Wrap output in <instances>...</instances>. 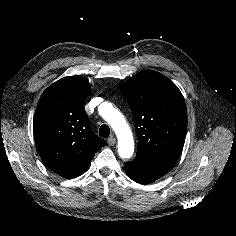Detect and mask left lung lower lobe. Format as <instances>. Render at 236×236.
Segmentation results:
<instances>
[{
	"label": "left lung lower lobe",
	"mask_w": 236,
	"mask_h": 236,
	"mask_svg": "<svg viewBox=\"0 0 236 236\" xmlns=\"http://www.w3.org/2000/svg\"><path fill=\"white\" fill-rule=\"evenodd\" d=\"M175 163L137 153L132 162L125 164V170L130 179L140 184L152 183L167 174Z\"/></svg>",
	"instance_id": "1"
}]
</instances>
